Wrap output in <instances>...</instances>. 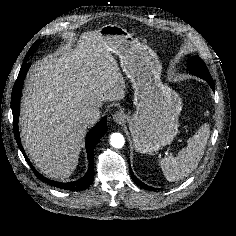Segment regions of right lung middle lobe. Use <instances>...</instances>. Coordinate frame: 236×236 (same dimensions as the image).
Returning <instances> with one entry per match:
<instances>
[{
    "instance_id": "dd1d6c3e",
    "label": "right lung middle lobe",
    "mask_w": 236,
    "mask_h": 236,
    "mask_svg": "<svg viewBox=\"0 0 236 236\" xmlns=\"http://www.w3.org/2000/svg\"><path fill=\"white\" fill-rule=\"evenodd\" d=\"M41 43L40 40L36 41L32 47L29 49L28 53H27V56L29 57L31 54L34 53V51L36 50V48L39 46V44Z\"/></svg>"
}]
</instances>
